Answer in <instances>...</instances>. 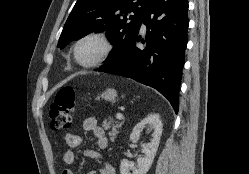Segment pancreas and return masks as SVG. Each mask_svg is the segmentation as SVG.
I'll list each match as a JSON object with an SVG mask.
<instances>
[{
  "mask_svg": "<svg viewBox=\"0 0 249 174\" xmlns=\"http://www.w3.org/2000/svg\"><path fill=\"white\" fill-rule=\"evenodd\" d=\"M102 126L105 130L111 129L109 132L110 139L116 138L118 134V129L122 126V123L115 122L112 118L105 119Z\"/></svg>",
  "mask_w": 249,
  "mask_h": 174,
  "instance_id": "cf45deb5",
  "label": "pancreas"
}]
</instances>
